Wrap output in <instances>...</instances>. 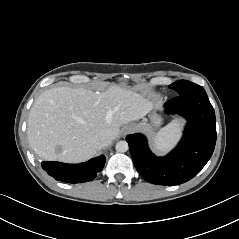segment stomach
<instances>
[{
  "instance_id": "0dacf381",
  "label": "stomach",
  "mask_w": 239,
  "mask_h": 239,
  "mask_svg": "<svg viewBox=\"0 0 239 239\" xmlns=\"http://www.w3.org/2000/svg\"><path fill=\"white\" fill-rule=\"evenodd\" d=\"M161 122H162V119L160 118V117H158V116H152L151 118H150V121L149 122H147V121H143L140 125H139V127L140 128H142V129H150V128H152V127H157V126H159L160 124H161Z\"/></svg>"
}]
</instances>
